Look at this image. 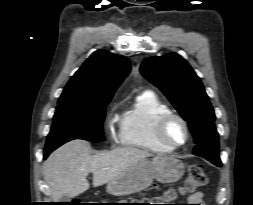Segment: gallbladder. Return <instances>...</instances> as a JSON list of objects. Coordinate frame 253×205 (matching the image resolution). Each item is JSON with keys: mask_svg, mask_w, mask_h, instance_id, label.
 <instances>
[{"mask_svg": "<svg viewBox=\"0 0 253 205\" xmlns=\"http://www.w3.org/2000/svg\"><path fill=\"white\" fill-rule=\"evenodd\" d=\"M70 201V196L68 195H63L60 199V202H69Z\"/></svg>", "mask_w": 253, "mask_h": 205, "instance_id": "bac80fb5", "label": "gallbladder"}]
</instances>
